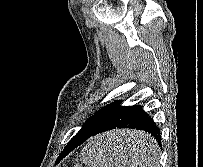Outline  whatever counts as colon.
Returning a JSON list of instances; mask_svg holds the SVG:
<instances>
[{
  "label": "colon",
  "mask_w": 203,
  "mask_h": 167,
  "mask_svg": "<svg viewBox=\"0 0 203 167\" xmlns=\"http://www.w3.org/2000/svg\"><path fill=\"white\" fill-rule=\"evenodd\" d=\"M75 167H81L80 165L76 164Z\"/></svg>",
  "instance_id": "colon-1"
}]
</instances>
